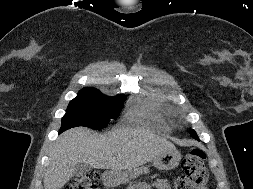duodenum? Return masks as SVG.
Wrapping results in <instances>:
<instances>
[{
    "instance_id": "410a0bca",
    "label": "duodenum",
    "mask_w": 253,
    "mask_h": 189,
    "mask_svg": "<svg viewBox=\"0 0 253 189\" xmlns=\"http://www.w3.org/2000/svg\"><path fill=\"white\" fill-rule=\"evenodd\" d=\"M114 181V174L112 172H107L104 175V183L107 186H110Z\"/></svg>"
}]
</instances>
